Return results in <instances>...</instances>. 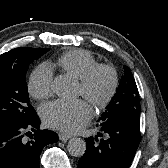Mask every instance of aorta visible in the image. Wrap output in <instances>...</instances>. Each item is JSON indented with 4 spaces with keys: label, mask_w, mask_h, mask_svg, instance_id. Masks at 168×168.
<instances>
[{
    "label": "aorta",
    "mask_w": 168,
    "mask_h": 168,
    "mask_svg": "<svg viewBox=\"0 0 168 168\" xmlns=\"http://www.w3.org/2000/svg\"><path fill=\"white\" fill-rule=\"evenodd\" d=\"M54 93L61 98H70L75 94L76 82L67 75L57 76L52 85ZM67 150L74 157H81L86 151V143L81 138H72L67 144Z\"/></svg>",
    "instance_id": "obj_1"
}]
</instances>
